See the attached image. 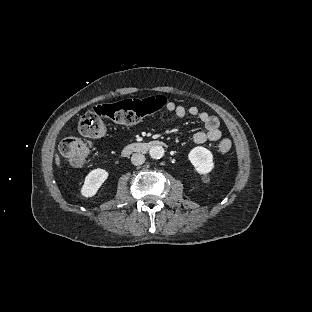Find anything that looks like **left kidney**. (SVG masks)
I'll list each match as a JSON object with an SVG mask.
<instances>
[{
    "mask_svg": "<svg viewBox=\"0 0 312 312\" xmlns=\"http://www.w3.org/2000/svg\"><path fill=\"white\" fill-rule=\"evenodd\" d=\"M188 158L199 174H207L214 167L213 155L204 147L198 146L193 148Z\"/></svg>",
    "mask_w": 312,
    "mask_h": 312,
    "instance_id": "left-kidney-1",
    "label": "left kidney"
}]
</instances>
